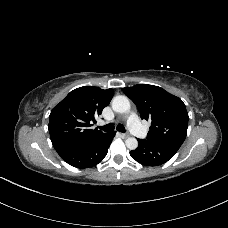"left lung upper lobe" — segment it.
Listing matches in <instances>:
<instances>
[{
  "label": "left lung upper lobe",
  "mask_w": 228,
  "mask_h": 228,
  "mask_svg": "<svg viewBox=\"0 0 228 228\" xmlns=\"http://www.w3.org/2000/svg\"><path fill=\"white\" fill-rule=\"evenodd\" d=\"M123 92L135 103L140 117L151 121L146 140L182 145L187 134L188 113L180 98L148 84L126 87Z\"/></svg>",
  "instance_id": "5c2ea615"
}]
</instances>
